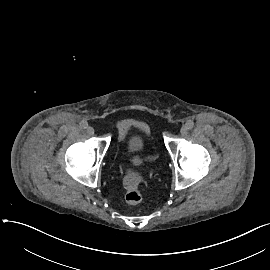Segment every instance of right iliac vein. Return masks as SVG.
I'll return each instance as SVG.
<instances>
[{
  "label": "right iliac vein",
  "instance_id": "63e3f726",
  "mask_svg": "<svg viewBox=\"0 0 270 270\" xmlns=\"http://www.w3.org/2000/svg\"><path fill=\"white\" fill-rule=\"evenodd\" d=\"M94 132H95V130H94L93 127L89 126V127L87 128V133H88L89 135H93Z\"/></svg>",
  "mask_w": 270,
  "mask_h": 270
}]
</instances>
